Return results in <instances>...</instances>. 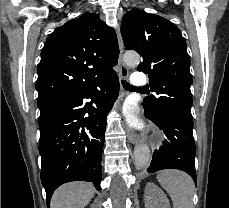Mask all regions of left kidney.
I'll return each instance as SVG.
<instances>
[{"instance_id":"obj_1","label":"left kidney","mask_w":229,"mask_h":208,"mask_svg":"<svg viewBox=\"0 0 229 208\" xmlns=\"http://www.w3.org/2000/svg\"><path fill=\"white\" fill-rule=\"evenodd\" d=\"M144 198L145 208H170L167 196L153 182H148Z\"/></svg>"}]
</instances>
